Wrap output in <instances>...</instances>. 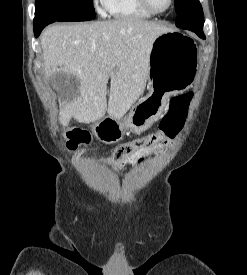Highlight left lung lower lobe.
I'll return each instance as SVG.
<instances>
[{"instance_id":"left-lung-lower-lobe-1","label":"left lung lower lobe","mask_w":247,"mask_h":275,"mask_svg":"<svg viewBox=\"0 0 247 275\" xmlns=\"http://www.w3.org/2000/svg\"><path fill=\"white\" fill-rule=\"evenodd\" d=\"M187 30H190V31H192V32H195L200 38H202V39H205L206 37H205V35H204V33H203V30L202 29H191V28H189V29H187Z\"/></svg>"}]
</instances>
